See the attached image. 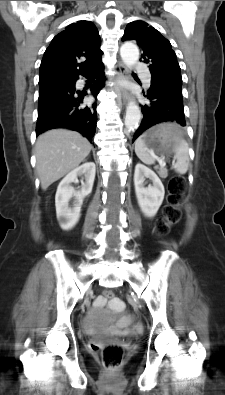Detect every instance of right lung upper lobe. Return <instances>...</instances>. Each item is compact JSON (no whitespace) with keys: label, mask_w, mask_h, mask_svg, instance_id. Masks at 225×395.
Returning <instances> with one entry per match:
<instances>
[{"label":"right lung upper lobe","mask_w":225,"mask_h":395,"mask_svg":"<svg viewBox=\"0 0 225 395\" xmlns=\"http://www.w3.org/2000/svg\"><path fill=\"white\" fill-rule=\"evenodd\" d=\"M100 45L98 30L92 22L81 20L67 26L53 38L44 53L40 88L55 86L94 69L101 62Z\"/></svg>","instance_id":"right-lung-upper-lobe-1"}]
</instances>
